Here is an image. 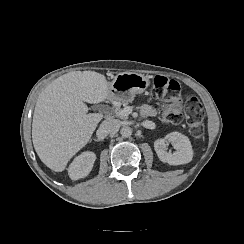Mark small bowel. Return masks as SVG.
Returning a JSON list of instances; mask_svg holds the SVG:
<instances>
[{
	"label": "small bowel",
	"instance_id": "small-bowel-1",
	"mask_svg": "<svg viewBox=\"0 0 244 244\" xmlns=\"http://www.w3.org/2000/svg\"><path fill=\"white\" fill-rule=\"evenodd\" d=\"M190 98H192V95L186 94L185 99L188 101ZM142 113L146 116H155L157 114V110L150 105L144 106L142 109Z\"/></svg>",
	"mask_w": 244,
	"mask_h": 244
}]
</instances>
